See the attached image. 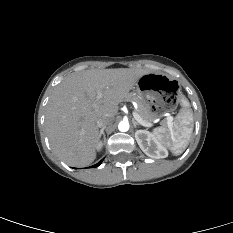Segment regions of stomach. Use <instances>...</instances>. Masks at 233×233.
Segmentation results:
<instances>
[{
	"instance_id": "1",
	"label": "stomach",
	"mask_w": 233,
	"mask_h": 233,
	"mask_svg": "<svg viewBox=\"0 0 233 233\" xmlns=\"http://www.w3.org/2000/svg\"><path fill=\"white\" fill-rule=\"evenodd\" d=\"M179 81L161 73L148 72L135 84V93L154 114L155 118L170 116L180 98Z\"/></svg>"
}]
</instances>
